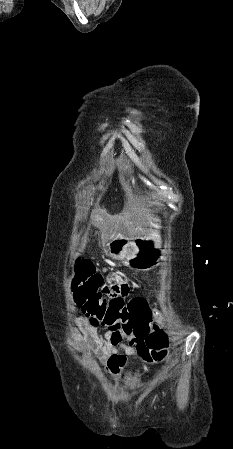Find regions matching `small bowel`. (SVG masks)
Segmentation results:
<instances>
[{
  "label": "small bowel",
  "instance_id": "small-bowel-1",
  "mask_svg": "<svg viewBox=\"0 0 233 449\" xmlns=\"http://www.w3.org/2000/svg\"><path fill=\"white\" fill-rule=\"evenodd\" d=\"M103 271L106 270L103 269ZM106 277L107 280L103 283L101 290L106 293L104 299L107 302H114L115 296H121L122 301H126L127 296L133 293L131 288L135 285V280L127 278V275L121 274L120 270H107ZM151 311V319L164 323L163 314ZM78 325L84 335V349L94 354L105 365V371L109 375H118L128 366L133 357H136L144 366L159 363L164 357V353L156 352L152 348L138 349L137 334H122L121 328H103L105 331L101 333L99 331L101 328H93L89 315L81 316L78 319ZM125 339H129V343H125Z\"/></svg>",
  "mask_w": 233,
  "mask_h": 449
}]
</instances>
